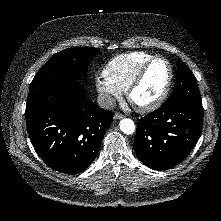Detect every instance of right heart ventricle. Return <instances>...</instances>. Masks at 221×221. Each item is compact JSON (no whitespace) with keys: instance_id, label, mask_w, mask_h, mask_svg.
<instances>
[{"instance_id":"e07e8e85","label":"right heart ventricle","mask_w":221,"mask_h":221,"mask_svg":"<svg viewBox=\"0 0 221 221\" xmlns=\"http://www.w3.org/2000/svg\"><path fill=\"white\" fill-rule=\"evenodd\" d=\"M153 55L129 52L111 59L103 69V76L121 91H126L140 67Z\"/></svg>"}]
</instances>
